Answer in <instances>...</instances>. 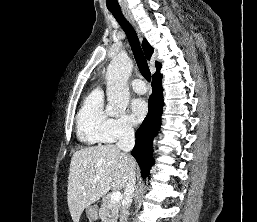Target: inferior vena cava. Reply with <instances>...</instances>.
<instances>
[{
  "label": "inferior vena cava",
  "mask_w": 257,
  "mask_h": 222,
  "mask_svg": "<svg viewBox=\"0 0 257 222\" xmlns=\"http://www.w3.org/2000/svg\"><path fill=\"white\" fill-rule=\"evenodd\" d=\"M135 145L134 129L130 125H125L122 128L118 142L116 143L117 148L129 152ZM135 173L132 171L128 179L124 192V201L122 203L120 222H128V209L132 203V197L135 189Z\"/></svg>",
  "instance_id": "obj_1"
}]
</instances>
